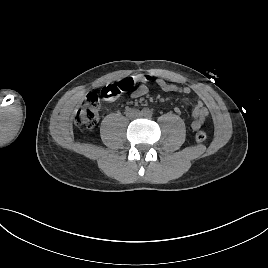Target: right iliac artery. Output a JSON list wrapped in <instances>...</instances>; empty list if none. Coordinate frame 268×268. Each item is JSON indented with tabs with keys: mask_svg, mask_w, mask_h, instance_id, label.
<instances>
[{
	"mask_svg": "<svg viewBox=\"0 0 268 268\" xmlns=\"http://www.w3.org/2000/svg\"><path fill=\"white\" fill-rule=\"evenodd\" d=\"M147 112H148V111H147L146 108H144V109L141 110V113H142V114H147Z\"/></svg>",
	"mask_w": 268,
	"mask_h": 268,
	"instance_id": "obj_1",
	"label": "right iliac artery"
}]
</instances>
